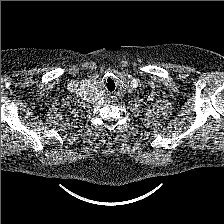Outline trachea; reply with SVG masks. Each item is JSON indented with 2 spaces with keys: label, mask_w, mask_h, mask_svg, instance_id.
I'll return each mask as SVG.
<instances>
[{
  "label": "trachea",
  "mask_w": 224,
  "mask_h": 224,
  "mask_svg": "<svg viewBox=\"0 0 224 224\" xmlns=\"http://www.w3.org/2000/svg\"><path fill=\"white\" fill-rule=\"evenodd\" d=\"M115 83L113 80H111V82L108 81V83L106 84V88L108 91L113 92L115 90Z\"/></svg>",
  "instance_id": "1"
}]
</instances>
